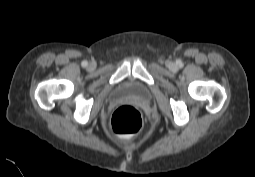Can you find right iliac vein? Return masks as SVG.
<instances>
[{"label": "right iliac vein", "instance_id": "right-iliac-vein-1", "mask_svg": "<svg viewBox=\"0 0 255 177\" xmlns=\"http://www.w3.org/2000/svg\"><path fill=\"white\" fill-rule=\"evenodd\" d=\"M94 66L92 64L89 65V69H93Z\"/></svg>", "mask_w": 255, "mask_h": 177}]
</instances>
